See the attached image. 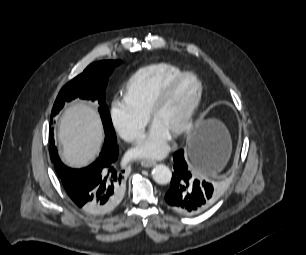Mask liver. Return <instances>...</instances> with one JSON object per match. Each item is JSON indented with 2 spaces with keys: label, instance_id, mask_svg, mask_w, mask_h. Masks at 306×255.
Returning <instances> with one entry per match:
<instances>
[{
  "label": "liver",
  "instance_id": "liver-1",
  "mask_svg": "<svg viewBox=\"0 0 306 255\" xmlns=\"http://www.w3.org/2000/svg\"><path fill=\"white\" fill-rule=\"evenodd\" d=\"M104 135L98 113L84 103H76L60 119L59 141L66 165L82 168L90 164L101 151Z\"/></svg>",
  "mask_w": 306,
  "mask_h": 255
}]
</instances>
